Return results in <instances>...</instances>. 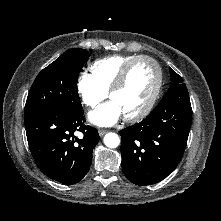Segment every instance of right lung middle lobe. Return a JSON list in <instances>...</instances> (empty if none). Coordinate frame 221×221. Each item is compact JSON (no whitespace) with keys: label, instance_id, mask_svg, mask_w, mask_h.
<instances>
[{"label":"right lung middle lobe","instance_id":"1","mask_svg":"<svg viewBox=\"0 0 221 221\" xmlns=\"http://www.w3.org/2000/svg\"><path fill=\"white\" fill-rule=\"evenodd\" d=\"M89 56L84 49H70L44 68L29 91L25 116L47 109H64L74 113L83 111L77 79Z\"/></svg>","mask_w":221,"mask_h":221}]
</instances>
